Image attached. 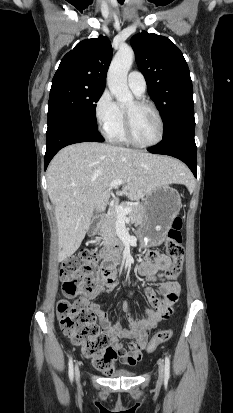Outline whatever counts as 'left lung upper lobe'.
<instances>
[{
    "mask_svg": "<svg viewBox=\"0 0 233 413\" xmlns=\"http://www.w3.org/2000/svg\"><path fill=\"white\" fill-rule=\"evenodd\" d=\"M139 70L164 121V136L195 128L192 81L182 52L167 37L143 31L132 37Z\"/></svg>",
    "mask_w": 233,
    "mask_h": 413,
    "instance_id": "1",
    "label": "left lung upper lobe"
}]
</instances>
